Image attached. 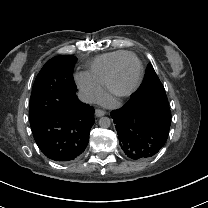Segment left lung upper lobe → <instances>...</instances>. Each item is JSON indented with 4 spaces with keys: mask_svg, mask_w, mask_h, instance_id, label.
Masks as SVG:
<instances>
[{
    "mask_svg": "<svg viewBox=\"0 0 208 208\" xmlns=\"http://www.w3.org/2000/svg\"><path fill=\"white\" fill-rule=\"evenodd\" d=\"M130 98L156 102L169 108L164 86L156 75L152 65L148 67L144 84Z\"/></svg>",
    "mask_w": 208,
    "mask_h": 208,
    "instance_id": "5c2ea615",
    "label": "left lung upper lobe"
}]
</instances>
